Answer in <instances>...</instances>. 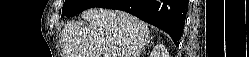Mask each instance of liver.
I'll return each instance as SVG.
<instances>
[{"label": "liver", "mask_w": 249, "mask_h": 57, "mask_svg": "<svg viewBox=\"0 0 249 57\" xmlns=\"http://www.w3.org/2000/svg\"><path fill=\"white\" fill-rule=\"evenodd\" d=\"M89 22H76L62 31L63 57H140L150 39L148 24L120 10L91 8L82 13Z\"/></svg>", "instance_id": "6515ba94"}]
</instances>
